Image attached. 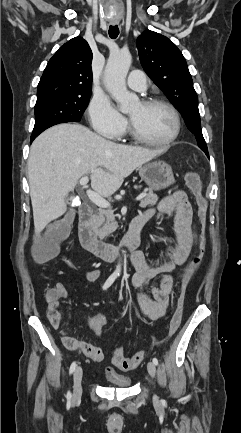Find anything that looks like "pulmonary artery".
<instances>
[{
	"label": "pulmonary artery",
	"mask_w": 241,
	"mask_h": 433,
	"mask_svg": "<svg viewBox=\"0 0 241 433\" xmlns=\"http://www.w3.org/2000/svg\"><path fill=\"white\" fill-rule=\"evenodd\" d=\"M127 84L132 90L141 92L146 90L147 79L143 72L134 70L130 73Z\"/></svg>",
	"instance_id": "obj_1"
}]
</instances>
